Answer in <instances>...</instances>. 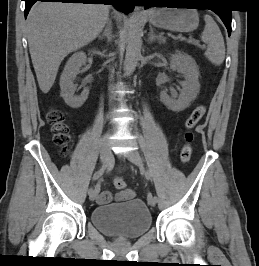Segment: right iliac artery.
Instances as JSON below:
<instances>
[{
  "instance_id": "82829eb1",
  "label": "right iliac artery",
  "mask_w": 259,
  "mask_h": 266,
  "mask_svg": "<svg viewBox=\"0 0 259 266\" xmlns=\"http://www.w3.org/2000/svg\"><path fill=\"white\" fill-rule=\"evenodd\" d=\"M107 165L103 166L100 170H98L97 172H95L94 176H93V180H97L99 179L102 174L104 173V170L106 168ZM92 191V188H87V192L90 193Z\"/></svg>"
}]
</instances>
